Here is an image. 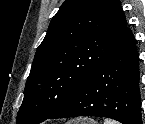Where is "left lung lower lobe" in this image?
Segmentation results:
<instances>
[{
  "instance_id": "left-lung-lower-lobe-1",
  "label": "left lung lower lobe",
  "mask_w": 145,
  "mask_h": 124,
  "mask_svg": "<svg viewBox=\"0 0 145 124\" xmlns=\"http://www.w3.org/2000/svg\"><path fill=\"white\" fill-rule=\"evenodd\" d=\"M138 62L135 40L128 29L116 49L47 119L96 116L123 124H142Z\"/></svg>"
}]
</instances>
